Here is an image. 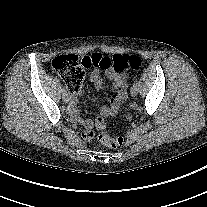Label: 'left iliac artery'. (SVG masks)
Returning <instances> with one entry per match:
<instances>
[{
	"instance_id": "1",
	"label": "left iliac artery",
	"mask_w": 207,
	"mask_h": 207,
	"mask_svg": "<svg viewBox=\"0 0 207 207\" xmlns=\"http://www.w3.org/2000/svg\"><path fill=\"white\" fill-rule=\"evenodd\" d=\"M136 85H138V81L137 80L134 81V83H133V86H136Z\"/></svg>"
}]
</instances>
